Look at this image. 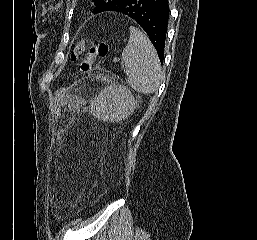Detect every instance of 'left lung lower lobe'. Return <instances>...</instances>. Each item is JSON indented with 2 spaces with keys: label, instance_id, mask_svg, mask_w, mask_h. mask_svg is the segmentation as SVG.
<instances>
[{
  "label": "left lung lower lobe",
  "instance_id": "0a47b994",
  "mask_svg": "<svg viewBox=\"0 0 257 240\" xmlns=\"http://www.w3.org/2000/svg\"><path fill=\"white\" fill-rule=\"evenodd\" d=\"M108 11L118 12L136 21L149 36L163 63L169 21L168 0H122Z\"/></svg>",
  "mask_w": 257,
  "mask_h": 240
}]
</instances>
